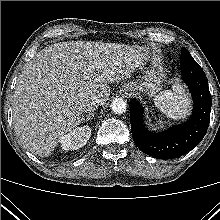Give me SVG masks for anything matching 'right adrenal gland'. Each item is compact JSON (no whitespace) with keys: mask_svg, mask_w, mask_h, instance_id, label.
<instances>
[{"mask_svg":"<svg viewBox=\"0 0 220 220\" xmlns=\"http://www.w3.org/2000/svg\"><path fill=\"white\" fill-rule=\"evenodd\" d=\"M94 115V113L90 112L89 114L86 115V118H83V122H88L91 120L92 116Z\"/></svg>","mask_w":220,"mask_h":220,"instance_id":"obj_1","label":"right adrenal gland"}]
</instances>
